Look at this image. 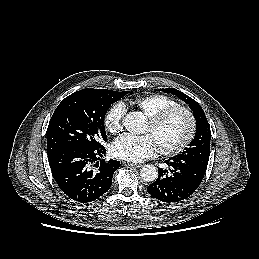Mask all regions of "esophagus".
I'll return each instance as SVG.
<instances>
[{"instance_id":"obj_1","label":"esophagus","mask_w":259,"mask_h":259,"mask_svg":"<svg viewBox=\"0 0 259 259\" xmlns=\"http://www.w3.org/2000/svg\"><path fill=\"white\" fill-rule=\"evenodd\" d=\"M123 164L125 166H131V167H134V168H140L142 166V164H135V163H129V162H123Z\"/></svg>"}]
</instances>
